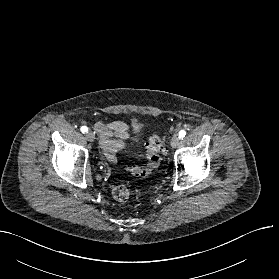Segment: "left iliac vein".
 Masks as SVG:
<instances>
[{
    "label": "left iliac vein",
    "mask_w": 279,
    "mask_h": 279,
    "mask_svg": "<svg viewBox=\"0 0 279 279\" xmlns=\"http://www.w3.org/2000/svg\"><path fill=\"white\" fill-rule=\"evenodd\" d=\"M179 144V138L177 136H174L172 139H171V142H170V145L172 148H176Z\"/></svg>",
    "instance_id": "obj_1"
}]
</instances>
